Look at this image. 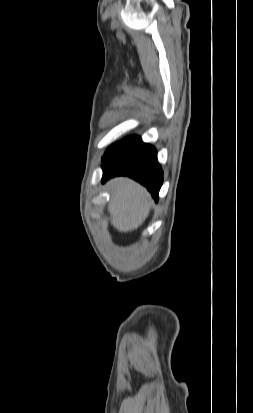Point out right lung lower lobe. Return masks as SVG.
Masks as SVG:
<instances>
[{"label":"right lung lower lobe","instance_id":"right-lung-lower-lobe-1","mask_svg":"<svg viewBox=\"0 0 253 413\" xmlns=\"http://www.w3.org/2000/svg\"><path fill=\"white\" fill-rule=\"evenodd\" d=\"M102 182L114 176H129L146 186L155 201L163 183L156 149L141 140L114 154L103 165Z\"/></svg>","mask_w":253,"mask_h":413}]
</instances>
